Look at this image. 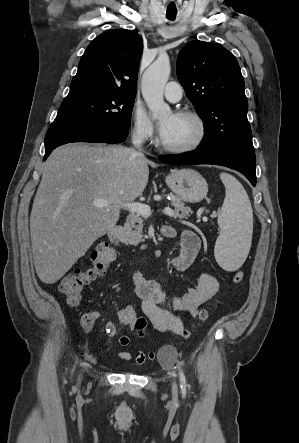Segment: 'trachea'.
Returning <instances> with one entry per match:
<instances>
[{
	"instance_id": "3493384b",
	"label": "trachea",
	"mask_w": 299,
	"mask_h": 443,
	"mask_svg": "<svg viewBox=\"0 0 299 443\" xmlns=\"http://www.w3.org/2000/svg\"><path fill=\"white\" fill-rule=\"evenodd\" d=\"M176 17V13L167 12V19L174 20Z\"/></svg>"
}]
</instances>
